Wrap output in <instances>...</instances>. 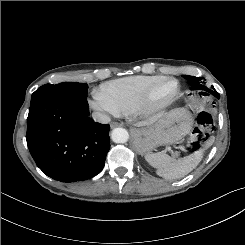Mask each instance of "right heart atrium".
I'll use <instances>...</instances> for the list:
<instances>
[{"label":"right heart atrium","mask_w":245,"mask_h":245,"mask_svg":"<svg viewBox=\"0 0 245 245\" xmlns=\"http://www.w3.org/2000/svg\"><path fill=\"white\" fill-rule=\"evenodd\" d=\"M88 105L101 120H108L111 116L119 115L117 109L99 91L92 94Z\"/></svg>","instance_id":"obj_1"}]
</instances>
